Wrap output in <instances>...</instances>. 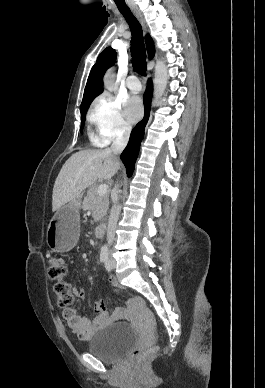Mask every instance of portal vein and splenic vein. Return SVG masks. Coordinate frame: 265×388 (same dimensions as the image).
Here are the masks:
<instances>
[{"label":"portal vein and splenic vein","instance_id":"18ae733b","mask_svg":"<svg viewBox=\"0 0 265 388\" xmlns=\"http://www.w3.org/2000/svg\"><path fill=\"white\" fill-rule=\"evenodd\" d=\"M90 170H94V166H90ZM107 192H108L107 184H101V186H99L97 190V194H99V196H104V194H107Z\"/></svg>","mask_w":265,"mask_h":388}]
</instances>
